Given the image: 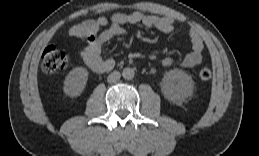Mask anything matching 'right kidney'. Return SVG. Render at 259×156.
I'll return each instance as SVG.
<instances>
[{"label": "right kidney", "instance_id": "obj_1", "mask_svg": "<svg viewBox=\"0 0 259 156\" xmlns=\"http://www.w3.org/2000/svg\"><path fill=\"white\" fill-rule=\"evenodd\" d=\"M88 80V71L83 67L72 69L64 80L63 90L66 95L76 97L84 91Z\"/></svg>", "mask_w": 259, "mask_h": 156}]
</instances>
